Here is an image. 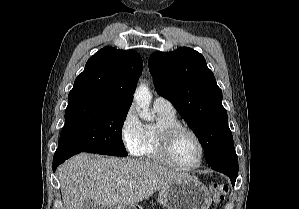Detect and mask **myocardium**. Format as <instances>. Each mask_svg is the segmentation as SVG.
<instances>
[{"label":"myocardium","instance_id":"obj_1","mask_svg":"<svg viewBox=\"0 0 299 209\" xmlns=\"http://www.w3.org/2000/svg\"><path fill=\"white\" fill-rule=\"evenodd\" d=\"M181 133H188L192 135L200 147V158L198 162L194 165L185 166L178 163L174 159L173 156L174 142L176 137ZM158 141H159L158 151L163 163L173 168L183 170V171H191L199 168L204 162L205 153H206L204 142L202 141L201 137L198 135L196 131H194L193 129L187 126H184L182 124H177V125H172L160 129L158 133Z\"/></svg>","mask_w":299,"mask_h":209}]
</instances>
